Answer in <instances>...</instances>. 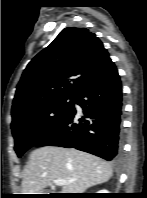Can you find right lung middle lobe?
Listing matches in <instances>:
<instances>
[{
	"label": "right lung middle lobe",
	"mask_w": 147,
	"mask_h": 198,
	"mask_svg": "<svg viewBox=\"0 0 147 198\" xmlns=\"http://www.w3.org/2000/svg\"><path fill=\"white\" fill-rule=\"evenodd\" d=\"M73 108V99H59L41 105L11 124L15 151L21 157L29 148L51 134Z\"/></svg>",
	"instance_id": "1"
}]
</instances>
